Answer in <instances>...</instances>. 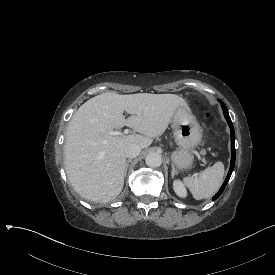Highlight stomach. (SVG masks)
<instances>
[{"label": "stomach", "mask_w": 275, "mask_h": 275, "mask_svg": "<svg viewBox=\"0 0 275 275\" xmlns=\"http://www.w3.org/2000/svg\"><path fill=\"white\" fill-rule=\"evenodd\" d=\"M171 122L175 140L180 147L172 159L178 167L185 168L192 162L191 150L200 143L202 129L190 109L183 105L176 106Z\"/></svg>", "instance_id": "obj_1"}]
</instances>
